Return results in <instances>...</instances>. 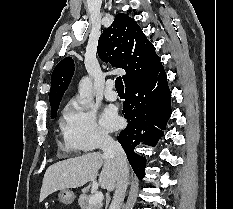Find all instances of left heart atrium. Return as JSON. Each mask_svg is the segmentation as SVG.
Returning a JSON list of instances; mask_svg holds the SVG:
<instances>
[{"label":"left heart atrium","mask_w":233,"mask_h":209,"mask_svg":"<svg viewBox=\"0 0 233 209\" xmlns=\"http://www.w3.org/2000/svg\"><path fill=\"white\" fill-rule=\"evenodd\" d=\"M102 123L109 130L115 129L119 126L120 119L113 107H107L104 110L102 114Z\"/></svg>","instance_id":"left-heart-atrium-1"}]
</instances>
